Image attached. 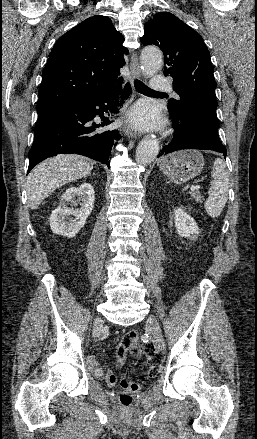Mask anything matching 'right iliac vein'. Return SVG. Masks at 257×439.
I'll return each instance as SVG.
<instances>
[{"instance_id":"obj_1","label":"right iliac vein","mask_w":257,"mask_h":439,"mask_svg":"<svg viewBox=\"0 0 257 439\" xmlns=\"http://www.w3.org/2000/svg\"><path fill=\"white\" fill-rule=\"evenodd\" d=\"M102 320L100 317H97L94 321V332L98 333L101 328Z\"/></svg>"}]
</instances>
